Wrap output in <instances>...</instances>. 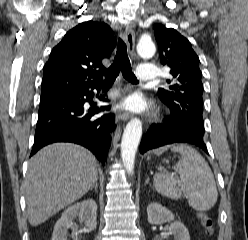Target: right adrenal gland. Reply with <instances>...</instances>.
<instances>
[{
	"label": "right adrenal gland",
	"instance_id": "obj_1",
	"mask_svg": "<svg viewBox=\"0 0 248 240\" xmlns=\"http://www.w3.org/2000/svg\"><path fill=\"white\" fill-rule=\"evenodd\" d=\"M92 188L94 189L95 192H98V183H97V181L94 183ZM92 188H91V190H92Z\"/></svg>",
	"mask_w": 248,
	"mask_h": 240
}]
</instances>
